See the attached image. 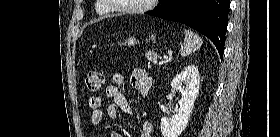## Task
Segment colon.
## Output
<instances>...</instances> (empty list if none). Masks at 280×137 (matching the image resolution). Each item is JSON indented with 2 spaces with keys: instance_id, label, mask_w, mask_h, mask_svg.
Masks as SVG:
<instances>
[{
  "instance_id": "1",
  "label": "colon",
  "mask_w": 280,
  "mask_h": 137,
  "mask_svg": "<svg viewBox=\"0 0 280 137\" xmlns=\"http://www.w3.org/2000/svg\"><path fill=\"white\" fill-rule=\"evenodd\" d=\"M104 83V76L98 70H91L85 76V86L91 92H96Z\"/></svg>"
}]
</instances>
